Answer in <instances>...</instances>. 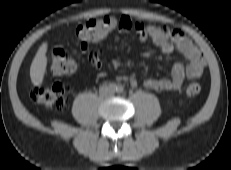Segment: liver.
<instances>
[{
    "label": "liver",
    "mask_w": 231,
    "mask_h": 170,
    "mask_svg": "<svg viewBox=\"0 0 231 170\" xmlns=\"http://www.w3.org/2000/svg\"><path fill=\"white\" fill-rule=\"evenodd\" d=\"M47 49V42L42 43L31 63L30 78L34 86H40L43 82L47 67Z\"/></svg>",
    "instance_id": "6515ba94"
}]
</instances>
